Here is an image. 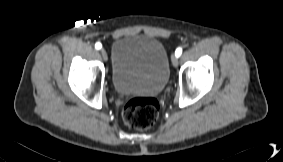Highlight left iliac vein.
I'll list each match as a JSON object with an SVG mask.
<instances>
[{
    "label": "left iliac vein",
    "instance_id": "obj_1",
    "mask_svg": "<svg viewBox=\"0 0 283 162\" xmlns=\"http://www.w3.org/2000/svg\"><path fill=\"white\" fill-rule=\"evenodd\" d=\"M171 61H172V65H173L174 67H177V65H178V57H177L176 55H173V56L171 57Z\"/></svg>",
    "mask_w": 283,
    "mask_h": 162
}]
</instances>
